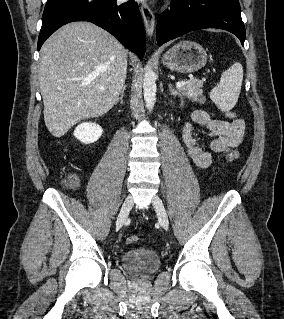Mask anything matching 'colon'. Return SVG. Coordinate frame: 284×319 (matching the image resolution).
I'll return each instance as SVG.
<instances>
[{
  "label": "colon",
  "mask_w": 284,
  "mask_h": 319,
  "mask_svg": "<svg viewBox=\"0 0 284 319\" xmlns=\"http://www.w3.org/2000/svg\"><path fill=\"white\" fill-rule=\"evenodd\" d=\"M227 116L229 119L231 120H234V119H237V114L233 111H230L227 113ZM239 157V153L237 151H232L230 152L228 155H227V160L229 162H234L238 159ZM78 183H79V180L77 178L76 175H69L66 179V184L70 187V188H76L78 186ZM139 240V236L137 235H132V236H129L127 239H126V243L128 245H132V244H135L136 242H138Z\"/></svg>",
  "instance_id": "obj_1"
}]
</instances>
